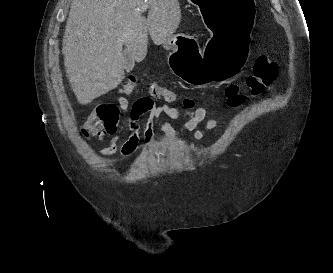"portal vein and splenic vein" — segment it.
Masks as SVG:
<instances>
[{
  "label": "portal vein and splenic vein",
  "instance_id": "1",
  "mask_svg": "<svg viewBox=\"0 0 333 273\" xmlns=\"http://www.w3.org/2000/svg\"><path fill=\"white\" fill-rule=\"evenodd\" d=\"M148 7H149L148 3H145L142 5L140 11L144 12L145 10H147Z\"/></svg>",
  "mask_w": 333,
  "mask_h": 273
}]
</instances>
